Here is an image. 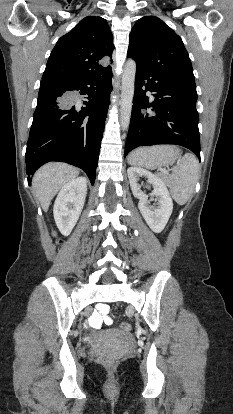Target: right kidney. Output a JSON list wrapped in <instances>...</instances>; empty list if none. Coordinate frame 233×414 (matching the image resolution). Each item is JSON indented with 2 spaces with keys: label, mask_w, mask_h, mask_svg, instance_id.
Wrapping results in <instances>:
<instances>
[{
  "label": "right kidney",
  "mask_w": 233,
  "mask_h": 414,
  "mask_svg": "<svg viewBox=\"0 0 233 414\" xmlns=\"http://www.w3.org/2000/svg\"><path fill=\"white\" fill-rule=\"evenodd\" d=\"M87 194V179L78 177L67 182L60 190L53 208L54 219L60 232L68 236L82 212Z\"/></svg>",
  "instance_id": "1"
}]
</instances>
